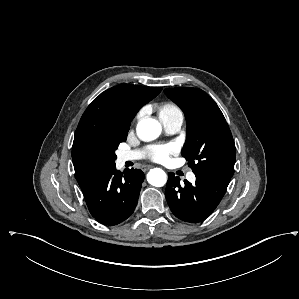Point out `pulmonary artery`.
I'll use <instances>...</instances> for the list:
<instances>
[{
  "label": "pulmonary artery",
  "mask_w": 299,
  "mask_h": 299,
  "mask_svg": "<svg viewBox=\"0 0 299 299\" xmlns=\"http://www.w3.org/2000/svg\"><path fill=\"white\" fill-rule=\"evenodd\" d=\"M161 122L168 133H176L180 130L183 123L182 115H173L161 119ZM143 157L141 150L123 151L119 154L118 159L120 163H125L131 160H138ZM186 178L189 182H195L196 176L193 172H188Z\"/></svg>",
  "instance_id": "e3ab8cb5"
}]
</instances>
